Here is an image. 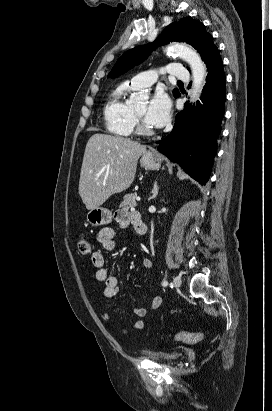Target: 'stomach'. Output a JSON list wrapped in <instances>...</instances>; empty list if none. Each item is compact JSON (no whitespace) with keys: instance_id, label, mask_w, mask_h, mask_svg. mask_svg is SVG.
<instances>
[{"instance_id":"1","label":"stomach","mask_w":272,"mask_h":411,"mask_svg":"<svg viewBox=\"0 0 272 411\" xmlns=\"http://www.w3.org/2000/svg\"><path fill=\"white\" fill-rule=\"evenodd\" d=\"M161 162V156L155 151L145 152L140 159L141 166L148 170H158L161 167ZM87 221L96 227L107 225L112 221V212L104 207L91 209L87 213Z\"/></svg>"}]
</instances>
